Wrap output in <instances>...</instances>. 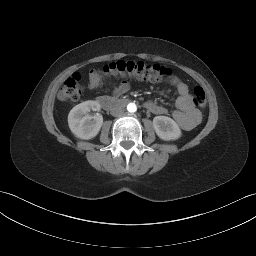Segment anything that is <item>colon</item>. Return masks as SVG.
Masks as SVG:
<instances>
[{"mask_svg":"<svg viewBox=\"0 0 256 256\" xmlns=\"http://www.w3.org/2000/svg\"><path fill=\"white\" fill-rule=\"evenodd\" d=\"M108 76H129L141 80L164 81L171 77V70L158 64L143 61L118 60L104 65L102 69L90 70L88 76L90 86L98 87ZM82 90V76L75 73L65 81L60 92V98L65 101H77L82 95ZM193 103L199 109H203L207 105L205 92L199 86L193 89Z\"/></svg>","mask_w":256,"mask_h":256,"instance_id":"5ec220e1","label":"colon"}]
</instances>
